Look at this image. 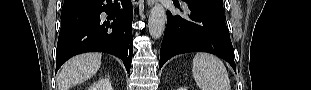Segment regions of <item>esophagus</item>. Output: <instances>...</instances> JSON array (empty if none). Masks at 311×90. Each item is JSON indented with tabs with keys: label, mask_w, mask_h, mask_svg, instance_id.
<instances>
[{
	"label": "esophagus",
	"mask_w": 311,
	"mask_h": 90,
	"mask_svg": "<svg viewBox=\"0 0 311 90\" xmlns=\"http://www.w3.org/2000/svg\"><path fill=\"white\" fill-rule=\"evenodd\" d=\"M154 2H155V0H147L146 1L148 6H151Z\"/></svg>",
	"instance_id": "1"
}]
</instances>
